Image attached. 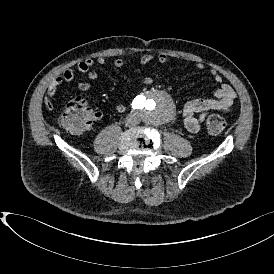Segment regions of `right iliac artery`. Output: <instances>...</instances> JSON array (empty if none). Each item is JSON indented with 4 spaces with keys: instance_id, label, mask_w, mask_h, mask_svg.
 <instances>
[{
    "instance_id": "1",
    "label": "right iliac artery",
    "mask_w": 274,
    "mask_h": 274,
    "mask_svg": "<svg viewBox=\"0 0 274 274\" xmlns=\"http://www.w3.org/2000/svg\"><path fill=\"white\" fill-rule=\"evenodd\" d=\"M132 107H133V108H139V105L134 101V102L132 103Z\"/></svg>"
}]
</instances>
